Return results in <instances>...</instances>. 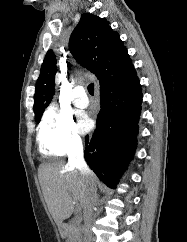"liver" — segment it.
<instances>
[{"mask_svg":"<svg viewBox=\"0 0 187 242\" xmlns=\"http://www.w3.org/2000/svg\"><path fill=\"white\" fill-rule=\"evenodd\" d=\"M38 176L46 205L58 227L72 215L75 203L84 207L89 186L96 184L93 174L84 177L62 161L41 164Z\"/></svg>","mask_w":187,"mask_h":242,"instance_id":"1","label":"liver"}]
</instances>
